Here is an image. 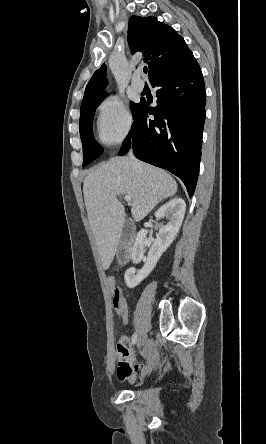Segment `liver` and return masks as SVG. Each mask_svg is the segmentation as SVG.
<instances>
[{
    "mask_svg": "<svg viewBox=\"0 0 266 444\" xmlns=\"http://www.w3.org/2000/svg\"><path fill=\"white\" fill-rule=\"evenodd\" d=\"M176 192V181L164 170L128 157L112 158L86 176L84 201L103 269L114 259L125 224V210L117 196L131 197L132 217L140 221Z\"/></svg>",
    "mask_w": 266,
    "mask_h": 444,
    "instance_id": "6515ba94",
    "label": "liver"
}]
</instances>
